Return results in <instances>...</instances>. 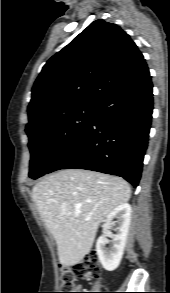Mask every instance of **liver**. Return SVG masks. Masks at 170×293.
<instances>
[{
  "label": "liver",
  "mask_w": 170,
  "mask_h": 293,
  "mask_svg": "<svg viewBox=\"0 0 170 293\" xmlns=\"http://www.w3.org/2000/svg\"><path fill=\"white\" fill-rule=\"evenodd\" d=\"M130 196L131 188L122 178L83 169L45 176L32 190V199L65 267L83 260L99 224Z\"/></svg>",
  "instance_id": "1"
}]
</instances>
